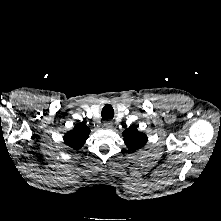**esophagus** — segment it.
I'll list each match as a JSON object with an SVG mask.
<instances>
[{
  "instance_id": "1",
  "label": "esophagus",
  "mask_w": 221,
  "mask_h": 221,
  "mask_svg": "<svg viewBox=\"0 0 221 221\" xmlns=\"http://www.w3.org/2000/svg\"><path fill=\"white\" fill-rule=\"evenodd\" d=\"M104 126L106 127V128H111L112 127V122H106L105 124H104Z\"/></svg>"
}]
</instances>
